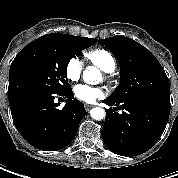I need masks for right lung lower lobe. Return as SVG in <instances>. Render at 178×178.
I'll return each mask as SVG.
<instances>
[{
	"mask_svg": "<svg viewBox=\"0 0 178 178\" xmlns=\"http://www.w3.org/2000/svg\"><path fill=\"white\" fill-rule=\"evenodd\" d=\"M56 95L68 98L62 109L54 102ZM8 99L18 132L33 147L44 151L70 144L87 113L71 88L62 92L14 90L8 92Z\"/></svg>",
	"mask_w": 178,
	"mask_h": 178,
	"instance_id": "98d812e1",
	"label": "right lung lower lobe"
}]
</instances>
